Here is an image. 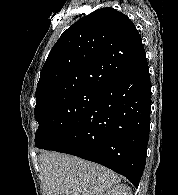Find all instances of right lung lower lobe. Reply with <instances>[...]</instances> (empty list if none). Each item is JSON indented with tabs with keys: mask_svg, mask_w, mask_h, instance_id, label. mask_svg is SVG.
<instances>
[{
	"mask_svg": "<svg viewBox=\"0 0 178 195\" xmlns=\"http://www.w3.org/2000/svg\"><path fill=\"white\" fill-rule=\"evenodd\" d=\"M150 96L148 65L110 82L53 150L104 165L138 187L146 164Z\"/></svg>",
	"mask_w": 178,
	"mask_h": 195,
	"instance_id": "obj_1",
	"label": "right lung lower lobe"
}]
</instances>
